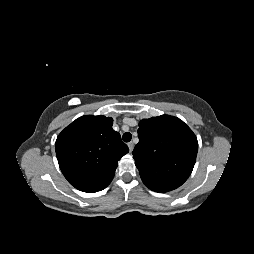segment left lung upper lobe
Instances as JSON below:
<instances>
[{
    "instance_id": "obj_1",
    "label": "left lung upper lobe",
    "mask_w": 254,
    "mask_h": 254,
    "mask_svg": "<svg viewBox=\"0 0 254 254\" xmlns=\"http://www.w3.org/2000/svg\"><path fill=\"white\" fill-rule=\"evenodd\" d=\"M133 158L142 181L181 186L195 165L198 142L179 118L161 115L143 119Z\"/></svg>"
}]
</instances>
